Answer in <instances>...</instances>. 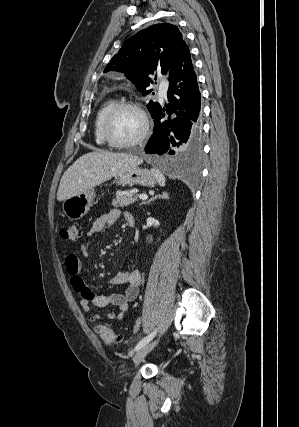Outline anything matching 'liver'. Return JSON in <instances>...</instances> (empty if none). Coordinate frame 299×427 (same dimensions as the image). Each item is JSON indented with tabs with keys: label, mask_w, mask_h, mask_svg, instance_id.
Here are the masks:
<instances>
[{
	"label": "liver",
	"mask_w": 299,
	"mask_h": 427,
	"mask_svg": "<svg viewBox=\"0 0 299 427\" xmlns=\"http://www.w3.org/2000/svg\"><path fill=\"white\" fill-rule=\"evenodd\" d=\"M142 162V158L131 154L104 151L86 153L64 172L57 200L64 201L81 194Z\"/></svg>",
	"instance_id": "1"
}]
</instances>
